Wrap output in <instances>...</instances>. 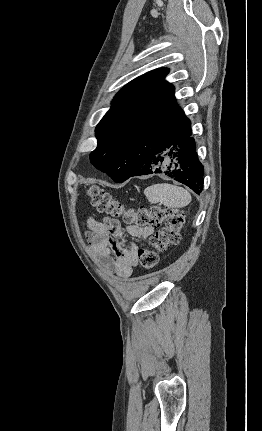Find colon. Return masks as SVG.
Here are the masks:
<instances>
[{"mask_svg": "<svg viewBox=\"0 0 262 431\" xmlns=\"http://www.w3.org/2000/svg\"><path fill=\"white\" fill-rule=\"evenodd\" d=\"M87 196L98 212L121 217L127 225L159 228L152 236L151 246L139 251L138 260L142 268L153 269L158 263L159 254L179 242L180 229L184 221L181 210L159 207L126 209L120 201L97 185L88 187Z\"/></svg>", "mask_w": 262, "mask_h": 431, "instance_id": "obj_1", "label": "colon"}]
</instances>
